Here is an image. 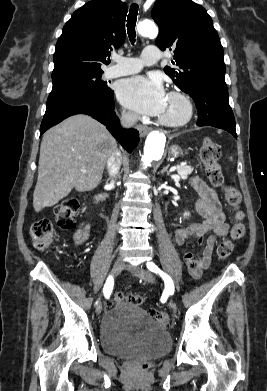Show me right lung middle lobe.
I'll list each match as a JSON object with an SVG mask.
<instances>
[{
  "mask_svg": "<svg viewBox=\"0 0 267 391\" xmlns=\"http://www.w3.org/2000/svg\"><path fill=\"white\" fill-rule=\"evenodd\" d=\"M103 71L98 72H72L52 76L53 88L50 93L57 94L69 90H82L94 93L109 94L111 88L107 82L101 80Z\"/></svg>",
  "mask_w": 267,
  "mask_h": 391,
  "instance_id": "1",
  "label": "right lung middle lobe"
}]
</instances>
